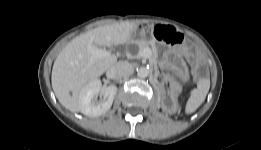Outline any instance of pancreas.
<instances>
[{
    "instance_id": "1",
    "label": "pancreas",
    "mask_w": 261,
    "mask_h": 150,
    "mask_svg": "<svg viewBox=\"0 0 261 150\" xmlns=\"http://www.w3.org/2000/svg\"><path fill=\"white\" fill-rule=\"evenodd\" d=\"M139 49L140 52L144 49H148L149 53L145 56L148 60L150 65L152 66L154 72L157 74L158 73V68H157V61H156V56L153 54L152 50L149 48V43L147 41H141L139 42ZM155 46L152 45V48ZM134 58H140V54H137L134 56Z\"/></svg>"
}]
</instances>
